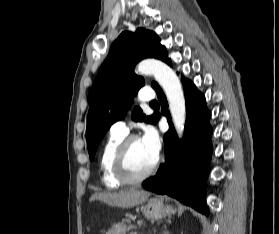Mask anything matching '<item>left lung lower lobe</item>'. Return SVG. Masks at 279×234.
Returning a JSON list of instances; mask_svg holds the SVG:
<instances>
[{"label":"left lung lower lobe","mask_w":279,"mask_h":234,"mask_svg":"<svg viewBox=\"0 0 279 234\" xmlns=\"http://www.w3.org/2000/svg\"><path fill=\"white\" fill-rule=\"evenodd\" d=\"M167 64L171 65L168 60ZM186 98V124L184 138L178 140L168 103L159 86L154 88L162 106V114L171 126L164 135L165 163L156 175L145 180L143 187L158 194H167L184 204L208 215L204 201L205 180L208 174L212 152L209 125L210 112L206 111L205 97L196 90L193 83L182 77ZM158 120L160 115L157 114Z\"/></svg>","instance_id":"left-lung-lower-lobe-1"}]
</instances>
